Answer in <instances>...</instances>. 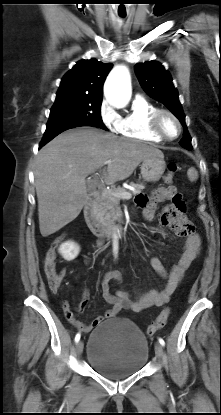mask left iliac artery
I'll list each match as a JSON object with an SVG mask.
<instances>
[{
    "label": "left iliac artery",
    "instance_id": "obj_1",
    "mask_svg": "<svg viewBox=\"0 0 221 415\" xmlns=\"http://www.w3.org/2000/svg\"><path fill=\"white\" fill-rule=\"evenodd\" d=\"M158 341H159V343H160L162 346H164V345H165V341H164L162 338H159V339H158Z\"/></svg>",
    "mask_w": 221,
    "mask_h": 415
}]
</instances>
